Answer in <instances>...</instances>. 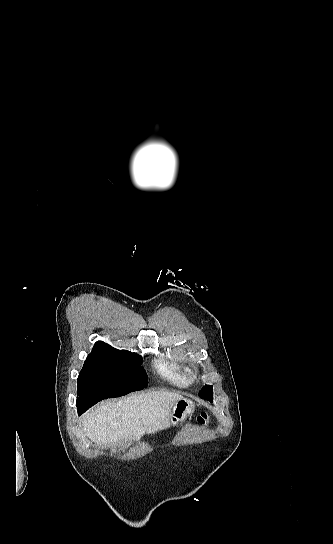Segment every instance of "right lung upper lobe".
<instances>
[{
    "instance_id": "right-lung-upper-lobe-1",
    "label": "right lung upper lobe",
    "mask_w": 333,
    "mask_h": 544,
    "mask_svg": "<svg viewBox=\"0 0 333 544\" xmlns=\"http://www.w3.org/2000/svg\"><path fill=\"white\" fill-rule=\"evenodd\" d=\"M111 348L112 347L110 345L99 341V342L95 343V345H94V347L92 349V352L90 354H103V353L107 352Z\"/></svg>"
}]
</instances>
